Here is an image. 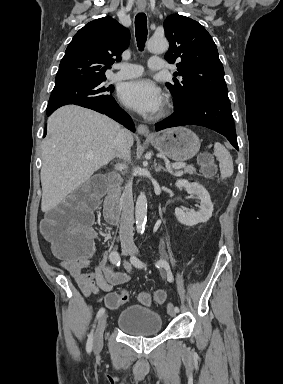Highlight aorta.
Listing matches in <instances>:
<instances>
[{"label": "aorta", "mask_w": 283, "mask_h": 384, "mask_svg": "<svg viewBox=\"0 0 283 384\" xmlns=\"http://www.w3.org/2000/svg\"><path fill=\"white\" fill-rule=\"evenodd\" d=\"M168 47L169 43L165 38L152 37L147 43L148 51L155 54L166 52ZM135 219L137 232L142 233L147 221V198L143 192L140 193L136 201Z\"/></svg>", "instance_id": "aorta-1"}]
</instances>
